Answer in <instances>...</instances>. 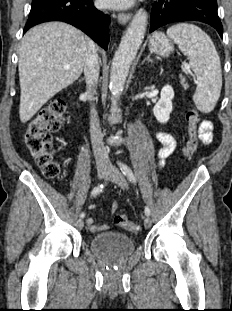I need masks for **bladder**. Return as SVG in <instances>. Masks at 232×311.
<instances>
[{
  "label": "bladder",
  "instance_id": "obj_1",
  "mask_svg": "<svg viewBox=\"0 0 232 311\" xmlns=\"http://www.w3.org/2000/svg\"><path fill=\"white\" fill-rule=\"evenodd\" d=\"M93 253L107 262H118L127 258L135 249L131 237L116 231H105L90 240Z\"/></svg>",
  "mask_w": 232,
  "mask_h": 311
}]
</instances>
